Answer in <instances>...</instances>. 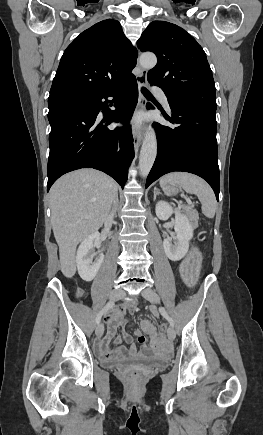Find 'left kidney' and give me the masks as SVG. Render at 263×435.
<instances>
[{
  "label": "left kidney",
  "mask_w": 263,
  "mask_h": 435,
  "mask_svg": "<svg viewBox=\"0 0 263 435\" xmlns=\"http://www.w3.org/2000/svg\"><path fill=\"white\" fill-rule=\"evenodd\" d=\"M155 212L161 220H167L172 214H175L174 229L176 236L165 238L163 240V247L170 260H181L188 252L189 241L193 237L194 226L186 216L181 214L179 209H174L166 201L157 202Z\"/></svg>",
  "instance_id": "obj_1"
}]
</instances>
